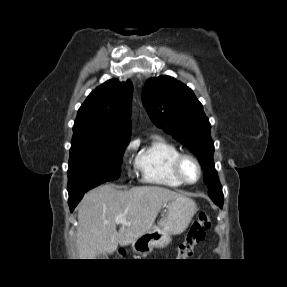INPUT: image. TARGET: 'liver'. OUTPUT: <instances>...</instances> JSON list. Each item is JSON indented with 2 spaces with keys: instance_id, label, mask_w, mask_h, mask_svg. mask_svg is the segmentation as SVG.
<instances>
[{
  "instance_id": "liver-1",
  "label": "liver",
  "mask_w": 287,
  "mask_h": 287,
  "mask_svg": "<svg viewBox=\"0 0 287 287\" xmlns=\"http://www.w3.org/2000/svg\"><path fill=\"white\" fill-rule=\"evenodd\" d=\"M182 196L159 186L119 190L106 184L89 191L78 206L79 259H96L98 254H113L118 244H131L152 228L166 203ZM119 215H123L126 223L115 222ZM117 224H120L118 231Z\"/></svg>"
}]
</instances>
